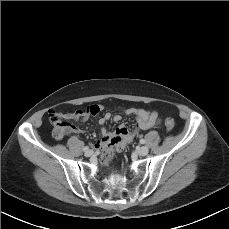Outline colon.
I'll return each mask as SVG.
<instances>
[{
    "mask_svg": "<svg viewBox=\"0 0 229 229\" xmlns=\"http://www.w3.org/2000/svg\"><path fill=\"white\" fill-rule=\"evenodd\" d=\"M85 112L88 115H96L99 112V106L91 105L86 109ZM49 120L51 124L54 126V135L57 138L62 137L70 127L68 122L63 120L60 117V115H58L57 113L53 111L49 113ZM164 124L167 130H172L175 127V122L171 118L166 119ZM121 141H122V138L120 136H116L115 138L112 139L109 149L102 156L103 162L108 163L112 160L114 151L120 148L119 144Z\"/></svg>",
    "mask_w": 229,
    "mask_h": 229,
    "instance_id": "1",
    "label": "colon"
}]
</instances>
